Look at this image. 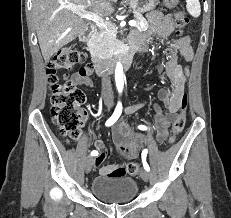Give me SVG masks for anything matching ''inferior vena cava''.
<instances>
[{
  "instance_id": "inferior-vena-cava-1",
  "label": "inferior vena cava",
  "mask_w": 231,
  "mask_h": 218,
  "mask_svg": "<svg viewBox=\"0 0 231 218\" xmlns=\"http://www.w3.org/2000/svg\"><path fill=\"white\" fill-rule=\"evenodd\" d=\"M102 86L104 88V98L106 100H113V91L111 84L108 82L107 75H103L102 77Z\"/></svg>"
}]
</instances>
